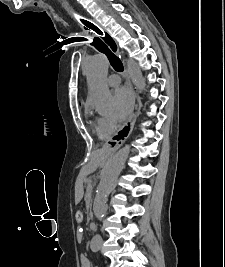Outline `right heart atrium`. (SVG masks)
<instances>
[{
	"label": "right heart atrium",
	"instance_id": "obj_1",
	"mask_svg": "<svg viewBox=\"0 0 225 267\" xmlns=\"http://www.w3.org/2000/svg\"><path fill=\"white\" fill-rule=\"evenodd\" d=\"M97 128L102 136H109L117 129V123L114 118L103 116L96 121Z\"/></svg>",
	"mask_w": 225,
	"mask_h": 267
}]
</instances>
